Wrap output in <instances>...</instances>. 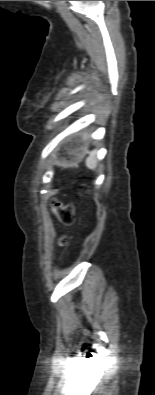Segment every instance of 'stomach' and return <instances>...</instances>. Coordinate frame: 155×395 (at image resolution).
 I'll use <instances>...</instances> for the list:
<instances>
[{
    "label": "stomach",
    "instance_id": "1",
    "mask_svg": "<svg viewBox=\"0 0 155 395\" xmlns=\"http://www.w3.org/2000/svg\"><path fill=\"white\" fill-rule=\"evenodd\" d=\"M85 152L82 150V148H78L75 151V157L77 158H82L84 156Z\"/></svg>",
    "mask_w": 155,
    "mask_h": 395
}]
</instances>
